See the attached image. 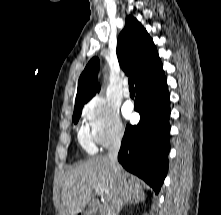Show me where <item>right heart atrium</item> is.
<instances>
[{"mask_svg": "<svg viewBox=\"0 0 221 215\" xmlns=\"http://www.w3.org/2000/svg\"><path fill=\"white\" fill-rule=\"evenodd\" d=\"M83 118L92 140L100 146L119 141L124 135V126L115 104L103 97H95L84 107Z\"/></svg>", "mask_w": 221, "mask_h": 215, "instance_id": "d8ad5b80", "label": "right heart atrium"}]
</instances>
